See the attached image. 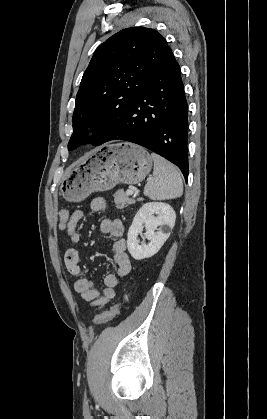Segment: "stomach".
Instances as JSON below:
<instances>
[{
  "mask_svg": "<svg viewBox=\"0 0 267 419\" xmlns=\"http://www.w3.org/2000/svg\"><path fill=\"white\" fill-rule=\"evenodd\" d=\"M152 164L151 155L141 146L106 144L69 169L60 194L67 201L80 202L92 192L107 191L119 183L134 185L144 180Z\"/></svg>",
  "mask_w": 267,
  "mask_h": 419,
  "instance_id": "obj_1",
  "label": "stomach"
}]
</instances>
